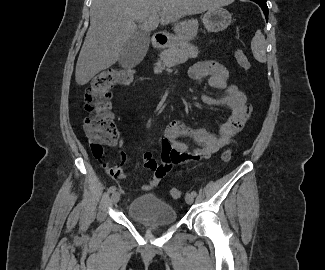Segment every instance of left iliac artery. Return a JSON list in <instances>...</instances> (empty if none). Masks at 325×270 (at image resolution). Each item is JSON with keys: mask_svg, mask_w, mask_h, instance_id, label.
I'll return each mask as SVG.
<instances>
[{"mask_svg": "<svg viewBox=\"0 0 325 270\" xmlns=\"http://www.w3.org/2000/svg\"><path fill=\"white\" fill-rule=\"evenodd\" d=\"M191 194L195 197L197 195L196 191H192Z\"/></svg>", "mask_w": 325, "mask_h": 270, "instance_id": "44dca946", "label": "left iliac artery"}]
</instances>
